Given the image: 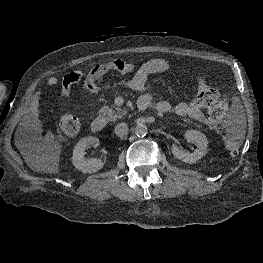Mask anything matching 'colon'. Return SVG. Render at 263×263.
I'll return each instance as SVG.
<instances>
[{
	"label": "colon",
	"instance_id": "obj_1",
	"mask_svg": "<svg viewBox=\"0 0 263 263\" xmlns=\"http://www.w3.org/2000/svg\"><path fill=\"white\" fill-rule=\"evenodd\" d=\"M119 70L128 68L122 62H115ZM199 103L208 110L210 117L223 119L227 114V103L219 97L217 90L209 86L203 77L197 79ZM61 130L68 136H75L80 129L79 120L70 113H64L59 122ZM242 143V135L239 130L231 129L227 132L224 140L225 148L230 153H237Z\"/></svg>",
	"mask_w": 263,
	"mask_h": 263
}]
</instances>
